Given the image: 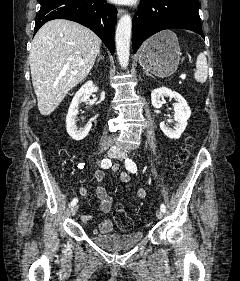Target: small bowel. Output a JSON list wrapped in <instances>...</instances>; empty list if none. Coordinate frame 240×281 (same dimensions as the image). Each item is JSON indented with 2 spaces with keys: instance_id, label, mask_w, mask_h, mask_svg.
I'll use <instances>...</instances> for the list:
<instances>
[{
  "instance_id": "1",
  "label": "small bowel",
  "mask_w": 240,
  "mask_h": 281,
  "mask_svg": "<svg viewBox=\"0 0 240 281\" xmlns=\"http://www.w3.org/2000/svg\"><path fill=\"white\" fill-rule=\"evenodd\" d=\"M112 171L115 174L119 175L121 182L124 183L127 187H134L135 188L136 195L139 199H144L146 197L147 194H146L145 189L140 187V186H135L132 183L129 174L126 173V172H123L118 165H115L112 168ZM95 179H96V182H97V187H96L95 193H96V196H97V198L99 199V202H100V209H101L102 212L108 213V212H110L111 207H112V198L109 195V193L107 192V190L102 185V181L104 179L103 170H97L95 172ZM78 192L81 196H86L88 194V191L85 187L80 188ZM80 218L83 222H88L92 219V216L82 214L80 216ZM114 231H115V229H114L112 221L110 219H105L99 224V226L97 228H95L93 230V233L95 235H98V234H104L105 235V234H111Z\"/></svg>"
}]
</instances>
